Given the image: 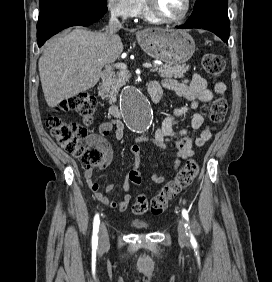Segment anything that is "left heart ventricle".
<instances>
[{"instance_id":"b2bd125f","label":"left heart ventricle","mask_w":272,"mask_h":282,"mask_svg":"<svg viewBox=\"0 0 272 282\" xmlns=\"http://www.w3.org/2000/svg\"><path fill=\"white\" fill-rule=\"evenodd\" d=\"M154 4L167 17L180 16L185 10V0H153Z\"/></svg>"}]
</instances>
